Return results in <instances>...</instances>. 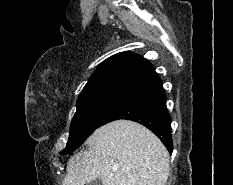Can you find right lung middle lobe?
Returning <instances> with one entry per match:
<instances>
[{"label":"right lung middle lobe","instance_id":"obj_1","mask_svg":"<svg viewBox=\"0 0 233 185\" xmlns=\"http://www.w3.org/2000/svg\"><path fill=\"white\" fill-rule=\"evenodd\" d=\"M129 91L110 88L81 94L71 122L69 140L61 154L65 155L77 149Z\"/></svg>","mask_w":233,"mask_h":185}]
</instances>
